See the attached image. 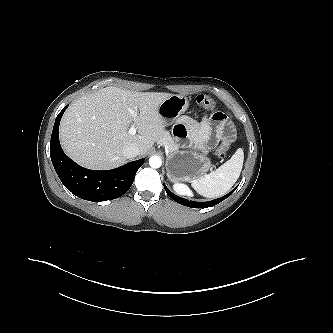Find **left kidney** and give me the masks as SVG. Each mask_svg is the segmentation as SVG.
<instances>
[{"mask_svg": "<svg viewBox=\"0 0 333 333\" xmlns=\"http://www.w3.org/2000/svg\"><path fill=\"white\" fill-rule=\"evenodd\" d=\"M173 189L180 195H187V196H191L192 193L189 190V188L184 185V184H179V183H175L173 185Z\"/></svg>", "mask_w": 333, "mask_h": 333, "instance_id": "5707ae66", "label": "left kidney"}]
</instances>
